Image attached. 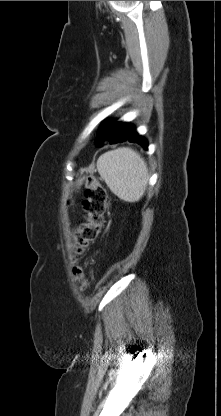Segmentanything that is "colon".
<instances>
[{"mask_svg": "<svg viewBox=\"0 0 221 416\" xmlns=\"http://www.w3.org/2000/svg\"><path fill=\"white\" fill-rule=\"evenodd\" d=\"M82 181L85 185V199L83 201L85 220L74 230L75 245L72 252L74 260L72 274L84 287L83 271L76 264V259L86 247L95 242L99 237L105 222L108 195L95 176H87Z\"/></svg>", "mask_w": 221, "mask_h": 416, "instance_id": "obj_1", "label": "colon"}]
</instances>
